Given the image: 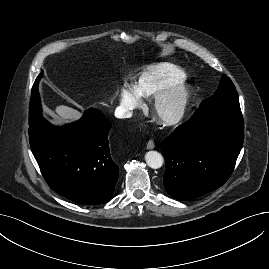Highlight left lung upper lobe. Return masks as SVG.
I'll use <instances>...</instances> for the list:
<instances>
[{
	"mask_svg": "<svg viewBox=\"0 0 269 269\" xmlns=\"http://www.w3.org/2000/svg\"><path fill=\"white\" fill-rule=\"evenodd\" d=\"M205 100L204 107L207 109L218 105H239L236 88L230 78L226 75L222 76L215 94Z\"/></svg>",
	"mask_w": 269,
	"mask_h": 269,
	"instance_id": "5c2ea615",
	"label": "left lung upper lobe"
}]
</instances>
